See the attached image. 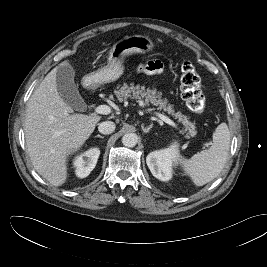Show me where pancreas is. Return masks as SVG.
<instances>
[{"label":"pancreas","instance_id":"1","mask_svg":"<svg viewBox=\"0 0 267 267\" xmlns=\"http://www.w3.org/2000/svg\"><path fill=\"white\" fill-rule=\"evenodd\" d=\"M117 89L115 95L120 102L131 98L138 101L143 107H148L152 104L153 106H156L158 110H164L166 113L171 114L174 119L181 122L191 136L196 135L195 126L189 121V118L180 112L175 113L173 106L168 104L167 99L161 98V93H157L155 90L145 89L144 86H134V84L129 86L126 83L121 87L118 86ZM147 111H150V109H147Z\"/></svg>","mask_w":267,"mask_h":267}]
</instances>
